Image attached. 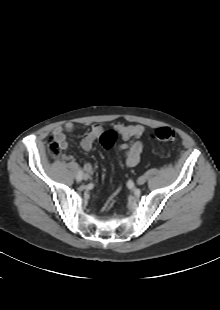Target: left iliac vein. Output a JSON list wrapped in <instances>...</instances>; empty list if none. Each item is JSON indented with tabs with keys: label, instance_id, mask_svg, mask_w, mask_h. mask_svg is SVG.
<instances>
[{
	"label": "left iliac vein",
	"instance_id": "obj_1",
	"mask_svg": "<svg viewBox=\"0 0 220 310\" xmlns=\"http://www.w3.org/2000/svg\"><path fill=\"white\" fill-rule=\"evenodd\" d=\"M144 182H145V178H144V177H139L138 180H137V183H138L139 185L144 184Z\"/></svg>",
	"mask_w": 220,
	"mask_h": 310
}]
</instances>
